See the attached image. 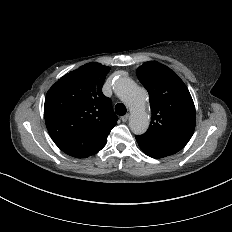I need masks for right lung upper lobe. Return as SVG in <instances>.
<instances>
[{"mask_svg":"<svg viewBox=\"0 0 232 232\" xmlns=\"http://www.w3.org/2000/svg\"><path fill=\"white\" fill-rule=\"evenodd\" d=\"M110 67L87 63L64 75L47 92L44 116L55 144L70 156L101 150L117 116L111 100L102 93Z\"/></svg>","mask_w":232,"mask_h":232,"instance_id":"cb5924a9","label":"right lung upper lobe"}]
</instances>
